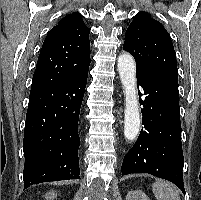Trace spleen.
Returning <instances> with one entry per match:
<instances>
[{
	"label": "spleen",
	"instance_id": "obj_1",
	"mask_svg": "<svg viewBox=\"0 0 201 200\" xmlns=\"http://www.w3.org/2000/svg\"><path fill=\"white\" fill-rule=\"evenodd\" d=\"M157 200H180L178 189L165 181H157L152 185Z\"/></svg>",
	"mask_w": 201,
	"mask_h": 200
}]
</instances>
